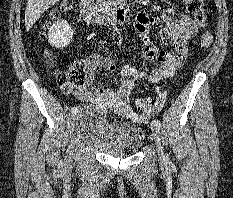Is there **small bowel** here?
<instances>
[{"label":"small bowel","instance_id":"c3829d8e","mask_svg":"<svg viewBox=\"0 0 233 198\" xmlns=\"http://www.w3.org/2000/svg\"><path fill=\"white\" fill-rule=\"evenodd\" d=\"M157 23L165 26L164 34L170 43L171 51L160 49L150 41L149 28ZM134 27L141 40L143 57L150 62H159V66L149 75L138 72L128 65L117 71L110 58L93 54L82 63L87 83L74 87L72 93L78 100L93 104L102 110L113 106L121 115L141 120L145 117L135 114L129 106V99L137 82L147 80L150 83H158L172 77L187 54L189 40L201 26L188 15L184 14L177 18L172 11L168 10L158 16L140 11L136 16ZM98 69L118 73L116 90L100 89L95 84Z\"/></svg>","mask_w":233,"mask_h":198}]
</instances>
